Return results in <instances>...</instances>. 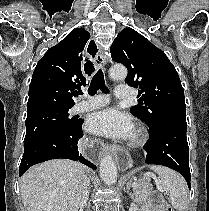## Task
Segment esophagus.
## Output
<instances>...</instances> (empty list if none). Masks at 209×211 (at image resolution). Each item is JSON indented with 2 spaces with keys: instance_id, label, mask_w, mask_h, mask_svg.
Here are the masks:
<instances>
[{
  "instance_id": "1",
  "label": "esophagus",
  "mask_w": 209,
  "mask_h": 211,
  "mask_svg": "<svg viewBox=\"0 0 209 211\" xmlns=\"http://www.w3.org/2000/svg\"><path fill=\"white\" fill-rule=\"evenodd\" d=\"M110 60L107 52H98L96 45H88V52H85L87 64H83L84 75H95L94 61L96 66H105ZM83 148L88 163H98V156H102V152H111L119 171H126V167H130V161L127 158L130 156V151H117V147L108 144H84Z\"/></svg>"
}]
</instances>
